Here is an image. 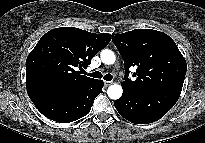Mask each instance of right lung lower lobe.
Listing matches in <instances>:
<instances>
[{
    "label": "right lung lower lobe",
    "mask_w": 205,
    "mask_h": 143,
    "mask_svg": "<svg viewBox=\"0 0 205 143\" xmlns=\"http://www.w3.org/2000/svg\"><path fill=\"white\" fill-rule=\"evenodd\" d=\"M102 88L103 81L95 80L71 90L36 88L28 89L27 93L45 117L56 122L69 123L89 113Z\"/></svg>",
    "instance_id": "obj_1"
}]
</instances>
